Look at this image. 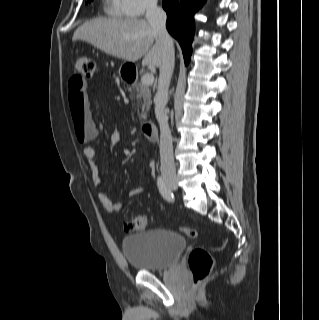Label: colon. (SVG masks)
Instances as JSON below:
<instances>
[{"label":"colon","instance_id":"5ec220e1","mask_svg":"<svg viewBox=\"0 0 319 320\" xmlns=\"http://www.w3.org/2000/svg\"><path fill=\"white\" fill-rule=\"evenodd\" d=\"M73 70L76 76L82 80L91 79L95 73V61L89 56H80L73 61ZM75 135L80 143L91 141L94 137V129L87 118L81 113L72 116ZM149 218L145 215L131 214L125 220V228L129 232H137L146 229ZM180 232L187 237L196 238L198 231L192 228H180ZM213 258L202 247L193 249L188 256V267L192 275L194 285L205 280L213 267Z\"/></svg>","mask_w":319,"mask_h":320}]
</instances>
